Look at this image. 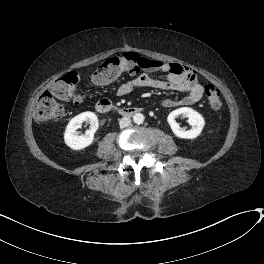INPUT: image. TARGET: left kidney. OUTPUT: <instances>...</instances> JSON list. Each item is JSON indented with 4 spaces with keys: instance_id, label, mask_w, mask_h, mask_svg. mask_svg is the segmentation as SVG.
<instances>
[{
    "instance_id": "1",
    "label": "left kidney",
    "mask_w": 264,
    "mask_h": 264,
    "mask_svg": "<svg viewBox=\"0 0 264 264\" xmlns=\"http://www.w3.org/2000/svg\"><path fill=\"white\" fill-rule=\"evenodd\" d=\"M182 115L183 117L188 118V123L192 126L190 130H185L181 128L176 122V118ZM167 121L173 131V133L183 139H194L200 135L205 125V120L203 116L197 111L193 110L190 107H181L172 111L168 117Z\"/></svg>"
}]
</instances>
